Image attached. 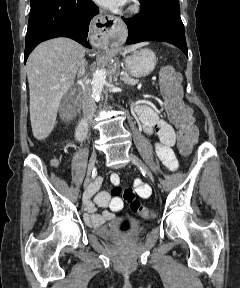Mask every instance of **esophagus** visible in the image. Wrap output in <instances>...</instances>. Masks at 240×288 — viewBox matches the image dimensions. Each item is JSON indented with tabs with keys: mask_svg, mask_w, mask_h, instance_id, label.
<instances>
[{
	"mask_svg": "<svg viewBox=\"0 0 240 288\" xmlns=\"http://www.w3.org/2000/svg\"><path fill=\"white\" fill-rule=\"evenodd\" d=\"M120 23V19L101 11L94 19L95 39L97 44L100 46H108L111 37L114 36Z\"/></svg>",
	"mask_w": 240,
	"mask_h": 288,
	"instance_id": "obj_1",
	"label": "esophagus"
}]
</instances>
